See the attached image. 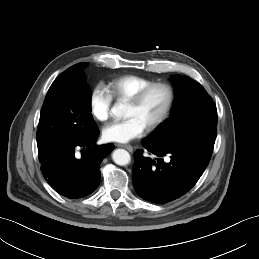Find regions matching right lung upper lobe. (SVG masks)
<instances>
[{"label": "right lung upper lobe", "instance_id": "1", "mask_svg": "<svg viewBox=\"0 0 259 259\" xmlns=\"http://www.w3.org/2000/svg\"><path fill=\"white\" fill-rule=\"evenodd\" d=\"M77 68V64L71 66L70 68H68L66 71H64L63 73H61L52 83V85L49 88V92L52 90H55L57 88H59L61 85H64L66 82L71 81L75 74V70Z\"/></svg>", "mask_w": 259, "mask_h": 259}]
</instances>
